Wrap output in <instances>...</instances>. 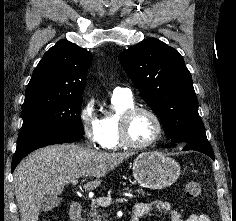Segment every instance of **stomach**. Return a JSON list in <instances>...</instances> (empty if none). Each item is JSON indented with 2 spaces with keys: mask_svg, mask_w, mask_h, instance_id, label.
Listing matches in <instances>:
<instances>
[{
  "mask_svg": "<svg viewBox=\"0 0 236 221\" xmlns=\"http://www.w3.org/2000/svg\"><path fill=\"white\" fill-rule=\"evenodd\" d=\"M136 182L149 189H164L180 176V166L174 159L158 152H144L133 161Z\"/></svg>",
  "mask_w": 236,
  "mask_h": 221,
  "instance_id": "1",
  "label": "stomach"
}]
</instances>
